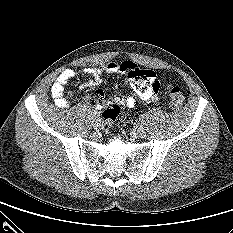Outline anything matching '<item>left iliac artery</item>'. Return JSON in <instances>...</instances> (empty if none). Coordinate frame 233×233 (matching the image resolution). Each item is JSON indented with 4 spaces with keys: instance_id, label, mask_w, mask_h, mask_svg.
I'll return each instance as SVG.
<instances>
[{
    "instance_id": "obj_1",
    "label": "left iliac artery",
    "mask_w": 233,
    "mask_h": 233,
    "mask_svg": "<svg viewBox=\"0 0 233 233\" xmlns=\"http://www.w3.org/2000/svg\"><path fill=\"white\" fill-rule=\"evenodd\" d=\"M144 115H140V117H139V119L141 120V121H143L144 120Z\"/></svg>"
}]
</instances>
